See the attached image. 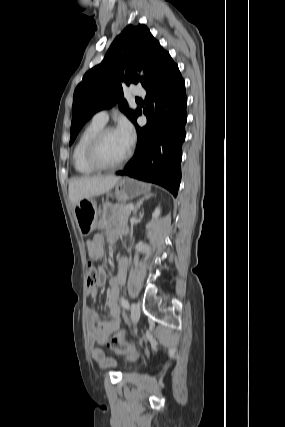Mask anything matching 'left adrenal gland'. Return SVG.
Masks as SVG:
<instances>
[{
    "instance_id": "left-adrenal-gland-1",
    "label": "left adrenal gland",
    "mask_w": 285,
    "mask_h": 427,
    "mask_svg": "<svg viewBox=\"0 0 285 427\" xmlns=\"http://www.w3.org/2000/svg\"><path fill=\"white\" fill-rule=\"evenodd\" d=\"M151 196H153V194H148L145 198H142L141 200H139V202H137L133 211L134 215L137 214V211L140 208V206L143 204L144 200H148Z\"/></svg>"
}]
</instances>
